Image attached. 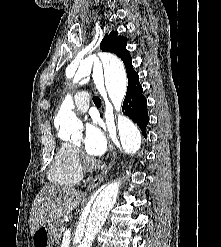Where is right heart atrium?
I'll use <instances>...</instances> for the list:
<instances>
[{
	"label": "right heart atrium",
	"mask_w": 221,
	"mask_h": 247,
	"mask_svg": "<svg viewBox=\"0 0 221 247\" xmlns=\"http://www.w3.org/2000/svg\"><path fill=\"white\" fill-rule=\"evenodd\" d=\"M76 152H77L78 159H80L81 155H80L79 151L76 150Z\"/></svg>",
	"instance_id": "1"
}]
</instances>
